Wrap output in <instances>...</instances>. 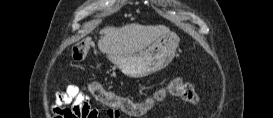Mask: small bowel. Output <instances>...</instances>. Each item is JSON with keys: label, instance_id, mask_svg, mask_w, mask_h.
<instances>
[{"label": "small bowel", "instance_id": "1", "mask_svg": "<svg viewBox=\"0 0 273 118\" xmlns=\"http://www.w3.org/2000/svg\"><path fill=\"white\" fill-rule=\"evenodd\" d=\"M182 99L192 103L187 97ZM59 100L70 104L69 108L57 110V114L63 118H98L100 115L99 108L91 104L89 97L81 92L78 86H69ZM107 114L110 118L119 117L117 110L113 107H108Z\"/></svg>", "mask_w": 273, "mask_h": 118}]
</instances>
